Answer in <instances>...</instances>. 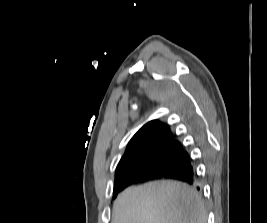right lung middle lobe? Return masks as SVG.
I'll list each match as a JSON object with an SVG mask.
<instances>
[{
	"mask_svg": "<svg viewBox=\"0 0 267 223\" xmlns=\"http://www.w3.org/2000/svg\"><path fill=\"white\" fill-rule=\"evenodd\" d=\"M184 149H165L157 153L145 161H137L128 164L125 167V173L134 172L137 170L143 171H156V172H168L174 168L186 155ZM116 196H114L115 198Z\"/></svg>",
	"mask_w": 267,
	"mask_h": 223,
	"instance_id": "right-lung-middle-lobe-1",
	"label": "right lung middle lobe"
}]
</instances>
